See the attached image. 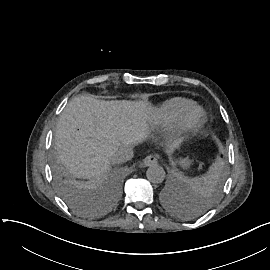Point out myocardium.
Listing matches in <instances>:
<instances>
[{"label": "myocardium", "mask_w": 270, "mask_h": 270, "mask_svg": "<svg viewBox=\"0 0 270 270\" xmlns=\"http://www.w3.org/2000/svg\"><path fill=\"white\" fill-rule=\"evenodd\" d=\"M204 121L205 111L203 108L199 106L191 108L173 132L176 143L181 144L185 142L191 134L197 131Z\"/></svg>", "instance_id": "f54148a6"}]
</instances>
